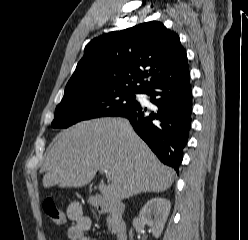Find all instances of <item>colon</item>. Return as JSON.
Listing matches in <instances>:
<instances>
[{"mask_svg":"<svg viewBox=\"0 0 248 240\" xmlns=\"http://www.w3.org/2000/svg\"><path fill=\"white\" fill-rule=\"evenodd\" d=\"M43 210L55 225L61 226L65 223L66 217L64 212L57 207L53 200H46L43 203Z\"/></svg>","mask_w":248,"mask_h":240,"instance_id":"obj_1","label":"colon"}]
</instances>
